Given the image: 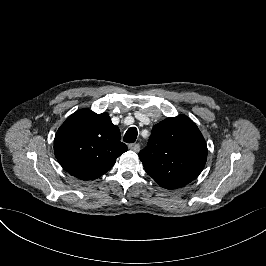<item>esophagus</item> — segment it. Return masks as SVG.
<instances>
[{
  "label": "esophagus",
  "instance_id": "1",
  "mask_svg": "<svg viewBox=\"0 0 266 266\" xmlns=\"http://www.w3.org/2000/svg\"><path fill=\"white\" fill-rule=\"evenodd\" d=\"M128 148L134 152H139L140 145L138 143L129 144Z\"/></svg>",
  "mask_w": 266,
  "mask_h": 266
}]
</instances>
